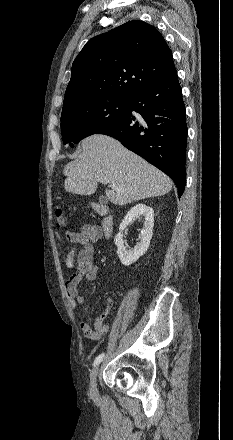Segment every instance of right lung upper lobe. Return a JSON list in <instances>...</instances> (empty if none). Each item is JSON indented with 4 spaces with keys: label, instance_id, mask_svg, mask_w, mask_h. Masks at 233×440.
Listing matches in <instances>:
<instances>
[{
    "label": "right lung upper lobe",
    "instance_id": "obj_1",
    "mask_svg": "<svg viewBox=\"0 0 233 440\" xmlns=\"http://www.w3.org/2000/svg\"><path fill=\"white\" fill-rule=\"evenodd\" d=\"M175 71L163 36L142 21H129L90 39L72 64L63 108L92 98L129 99Z\"/></svg>",
    "mask_w": 233,
    "mask_h": 440
}]
</instances>
